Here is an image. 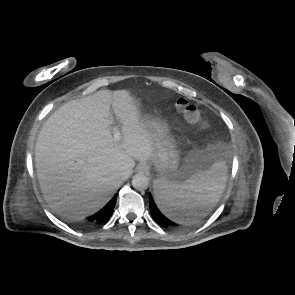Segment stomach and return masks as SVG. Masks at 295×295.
Wrapping results in <instances>:
<instances>
[{
  "label": "stomach",
  "mask_w": 295,
  "mask_h": 295,
  "mask_svg": "<svg viewBox=\"0 0 295 295\" xmlns=\"http://www.w3.org/2000/svg\"><path fill=\"white\" fill-rule=\"evenodd\" d=\"M154 140L151 162L163 179H175L181 175L180 149L178 142L170 131L168 123L160 116L141 115ZM210 168V163L200 166L197 171Z\"/></svg>",
  "instance_id": "obj_1"
}]
</instances>
